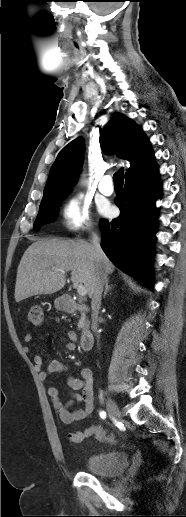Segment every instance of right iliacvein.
<instances>
[{
	"label": "right iliac vein",
	"mask_w": 186,
	"mask_h": 517,
	"mask_svg": "<svg viewBox=\"0 0 186 517\" xmlns=\"http://www.w3.org/2000/svg\"><path fill=\"white\" fill-rule=\"evenodd\" d=\"M106 407H107V411L109 413V415L116 419V420H119L120 419V411L117 407V404L115 403V401L111 398H108L107 401H106Z\"/></svg>",
	"instance_id": "1"
}]
</instances>
